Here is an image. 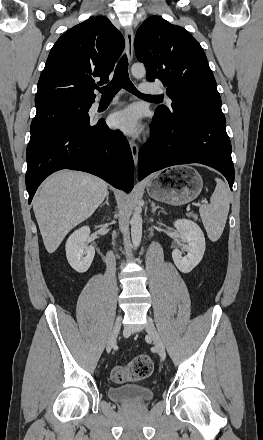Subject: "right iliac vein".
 Instances as JSON below:
<instances>
[{"mask_svg": "<svg viewBox=\"0 0 263 440\" xmlns=\"http://www.w3.org/2000/svg\"><path fill=\"white\" fill-rule=\"evenodd\" d=\"M121 321H122V315H118V317L116 318L114 327H113L111 334H110L108 341H107V345H106L107 352H109L112 349V347L115 345L117 336L120 331Z\"/></svg>", "mask_w": 263, "mask_h": 440, "instance_id": "63e3f726", "label": "right iliac vein"}]
</instances>
